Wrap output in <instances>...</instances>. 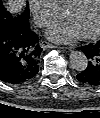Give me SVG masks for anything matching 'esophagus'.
<instances>
[{
  "instance_id": "obj_1",
  "label": "esophagus",
  "mask_w": 100,
  "mask_h": 118,
  "mask_svg": "<svg viewBox=\"0 0 100 118\" xmlns=\"http://www.w3.org/2000/svg\"><path fill=\"white\" fill-rule=\"evenodd\" d=\"M40 46H41V48H43V49L57 48V46H55V45H53V44H50V43H48V42H46V41H42V42L40 43Z\"/></svg>"
}]
</instances>
